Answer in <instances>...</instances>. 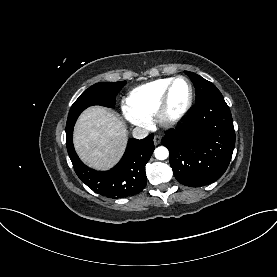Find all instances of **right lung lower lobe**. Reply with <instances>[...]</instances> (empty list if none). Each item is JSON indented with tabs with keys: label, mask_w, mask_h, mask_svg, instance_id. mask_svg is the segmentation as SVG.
Returning a JSON list of instances; mask_svg holds the SVG:
<instances>
[{
	"label": "right lung lower lobe",
	"mask_w": 277,
	"mask_h": 277,
	"mask_svg": "<svg viewBox=\"0 0 277 277\" xmlns=\"http://www.w3.org/2000/svg\"><path fill=\"white\" fill-rule=\"evenodd\" d=\"M73 128L66 131V146L77 176L95 193L124 198L140 193L146 186L145 165L153 150V134L142 140L131 138L120 162L109 171H96L81 162L73 146Z\"/></svg>",
	"instance_id": "98d812e1"
}]
</instances>
